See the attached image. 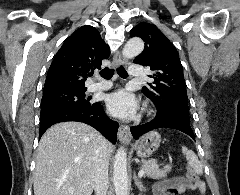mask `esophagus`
I'll use <instances>...</instances> for the list:
<instances>
[{"mask_svg": "<svg viewBox=\"0 0 240 195\" xmlns=\"http://www.w3.org/2000/svg\"><path fill=\"white\" fill-rule=\"evenodd\" d=\"M125 63V58L123 57L121 52H117L114 56H113V66L118 67L122 64ZM118 140L125 144L128 145L132 139V135L130 132V129L128 127V125L125 124H121L119 129H118Z\"/></svg>", "mask_w": 240, "mask_h": 195, "instance_id": "1", "label": "esophagus"}]
</instances>
